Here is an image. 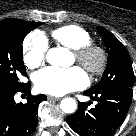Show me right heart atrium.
<instances>
[{"label": "right heart atrium", "mask_w": 136, "mask_h": 136, "mask_svg": "<svg viewBox=\"0 0 136 136\" xmlns=\"http://www.w3.org/2000/svg\"><path fill=\"white\" fill-rule=\"evenodd\" d=\"M48 48L46 37L38 31L30 33L23 42V61L26 67L34 69L40 66Z\"/></svg>", "instance_id": "d8ad5b80"}]
</instances>
